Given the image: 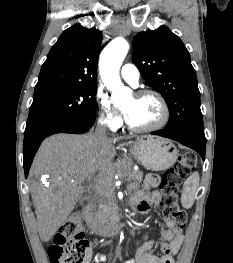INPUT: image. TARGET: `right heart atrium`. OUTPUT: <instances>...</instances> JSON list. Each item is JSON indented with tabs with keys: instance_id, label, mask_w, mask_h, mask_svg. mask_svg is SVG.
I'll return each instance as SVG.
<instances>
[{
	"instance_id": "1",
	"label": "right heart atrium",
	"mask_w": 233,
	"mask_h": 263,
	"mask_svg": "<svg viewBox=\"0 0 233 263\" xmlns=\"http://www.w3.org/2000/svg\"><path fill=\"white\" fill-rule=\"evenodd\" d=\"M95 100L99 108L100 122L111 130L117 129L121 125V117L112 105L108 95L101 89L95 94Z\"/></svg>"
}]
</instances>
